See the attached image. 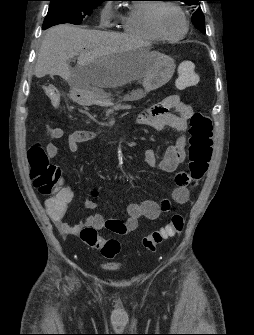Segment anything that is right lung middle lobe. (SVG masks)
Returning <instances> with one entry per match:
<instances>
[{
  "label": "right lung middle lobe",
  "instance_id": "right-lung-middle-lobe-1",
  "mask_svg": "<svg viewBox=\"0 0 254 335\" xmlns=\"http://www.w3.org/2000/svg\"><path fill=\"white\" fill-rule=\"evenodd\" d=\"M43 29L62 23L80 24L103 0H49Z\"/></svg>",
  "mask_w": 254,
  "mask_h": 335
}]
</instances>
